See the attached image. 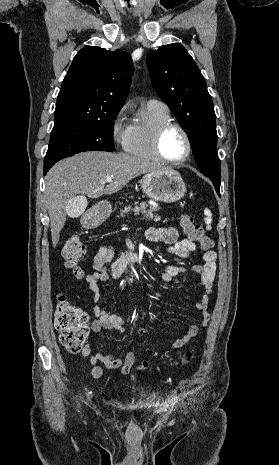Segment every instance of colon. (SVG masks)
Segmentation results:
<instances>
[{"mask_svg": "<svg viewBox=\"0 0 279 465\" xmlns=\"http://www.w3.org/2000/svg\"><path fill=\"white\" fill-rule=\"evenodd\" d=\"M181 226L191 240L200 244L203 249L212 246V240L205 234L201 224L190 215L183 213L180 216ZM62 258L65 266L72 270L77 278L83 277V271L79 265L85 254V245L78 235L69 236L62 248ZM87 314L76 305L66 300L64 295L58 297L54 314V325L59 331L61 344L71 353H78L88 336ZM195 357L193 351H188L181 359L183 364L190 363Z\"/></svg>", "mask_w": 279, "mask_h": 465, "instance_id": "obj_1", "label": "colon"}]
</instances>
